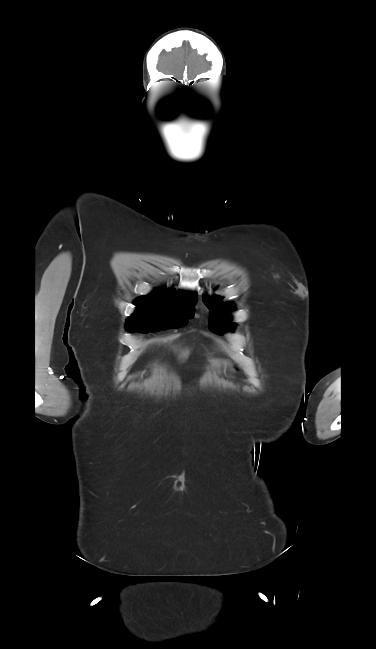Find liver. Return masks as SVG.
<instances>
[{
	"instance_id": "obj_1",
	"label": "liver",
	"mask_w": 376,
	"mask_h": 649,
	"mask_svg": "<svg viewBox=\"0 0 376 649\" xmlns=\"http://www.w3.org/2000/svg\"><path fill=\"white\" fill-rule=\"evenodd\" d=\"M190 351L188 349L182 350L180 354V358L182 359H187L189 357Z\"/></svg>"
}]
</instances>
